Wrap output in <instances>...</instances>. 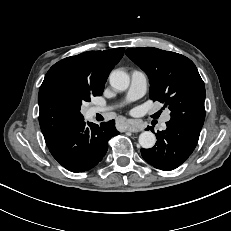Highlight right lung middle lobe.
Segmentation results:
<instances>
[{"mask_svg":"<svg viewBox=\"0 0 231 231\" xmlns=\"http://www.w3.org/2000/svg\"><path fill=\"white\" fill-rule=\"evenodd\" d=\"M102 93H92L90 91H82L80 92L75 99L76 105L78 109H80L82 102L86 101L89 102L91 96H98L101 95Z\"/></svg>","mask_w":231,"mask_h":231,"instance_id":"1","label":"right lung middle lobe"}]
</instances>
